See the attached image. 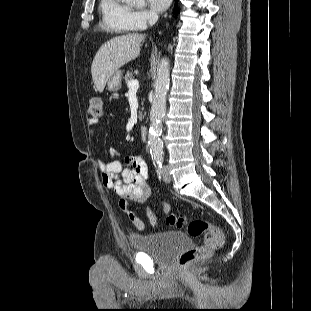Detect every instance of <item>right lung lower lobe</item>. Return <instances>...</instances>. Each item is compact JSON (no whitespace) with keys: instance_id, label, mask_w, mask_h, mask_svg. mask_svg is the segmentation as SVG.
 <instances>
[{"instance_id":"right-lung-lower-lobe-1","label":"right lung lower lobe","mask_w":311,"mask_h":311,"mask_svg":"<svg viewBox=\"0 0 311 311\" xmlns=\"http://www.w3.org/2000/svg\"><path fill=\"white\" fill-rule=\"evenodd\" d=\"M177 4H178V0H176V4H175V12L177 14Z\"/></svg>"}]
</instances>
